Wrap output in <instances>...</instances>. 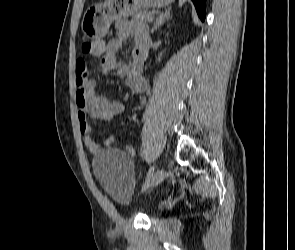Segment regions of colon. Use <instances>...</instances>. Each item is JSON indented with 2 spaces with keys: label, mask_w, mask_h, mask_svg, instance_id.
Returning a JSON list of instances; mask_svg holds the SVG:
<instances>
[{
  "label": "colon",
  "mask_w": 295,
  "mask_h": 250,
  "mask_svg": "<svg viewBox=\"0 0 295 250\" xmlns=\"http://www.w3.org/2000/svg\"><path fill=\"white\" fill-rule=\"evenodd\" d=\"M100 41H84L82 44V51L85 54H92L93 52H95L98 48V44Z\"/></svg>",
  "instance_id": "5ec220e1"
}]
</instances>
